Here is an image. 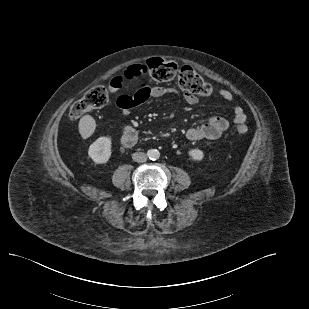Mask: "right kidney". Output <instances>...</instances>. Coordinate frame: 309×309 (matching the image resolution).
Wrapping results in <instances>:
<instances>
[{
  "label": "right kidney",
  "instance_id": "obj_1",
  "mask_svg": "<svg viewBox=\"0 0 309 309\" xmlns=\"http://www.w3.org/2000/svg\"><path fill=\"white\" fill-rule=\"evenodd\" d=\"M111 145L109 137H99L90 145L88 155L96 164H105L111 157Z\"/></svg>",
  "mask_w": 309,
  "mask_h": 309
}]
</instances>
